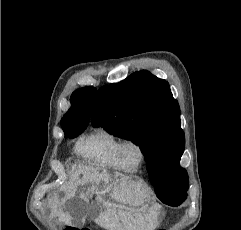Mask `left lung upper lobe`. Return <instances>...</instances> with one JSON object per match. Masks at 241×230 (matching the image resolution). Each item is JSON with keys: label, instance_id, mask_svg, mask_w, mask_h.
Instances as JSON below:
<instances>
[{"label": "left lung upper lobe", "instance_id": "obj_1", "mask_svg": "<svg viewBox=\"0 0 241 230\" xmlns=\"http://www.w3.org/2000/svg\"><path fill=\"white\" fill-rule=\"evenodd\" d=\"M91 124L140 146L156 195L163 203L177 206L186 199L188 175L180 167L185 138L179 104L168 82L142 70L101 87Z\"/></svg>", "mask_w": 241, "mask_h": 230}]
</instances>
